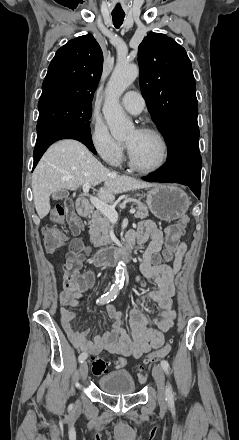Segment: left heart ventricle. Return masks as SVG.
Segmentation results:
<instances>
[{
    "label": "left heart ventricle",
    "instance_id": "1",
    "mask_svg": "<svg viewBox=\"0 0 239 440\" xmlns=\"http://www.w3.org/2000/svg\"><path fill=\"white\" fill-rule=\"evenodd\" d=\"M126 143L140 167L153 168L163 157L162 144L154 135L134 130L126 138Z\"/></svg>",
    "mask_w": 239,
    "mask_h": 440
}]
</instances>
